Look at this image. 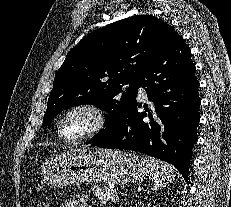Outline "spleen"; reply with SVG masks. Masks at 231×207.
Returning a JSON list of instances; mask_svg holds the SVG:
<instances>
[{
    "label": "spleen",
    "instance_id": "1",
    "mask_svg": "<svg viewBox=\"0 0 231 207\" xmlns=\"http://www.w3.org/2000/svg\"><path fill=\"white\" fill-rule=\"evenodd\" d=\"M150 169V175L154 181V189L165 188L175 178L176 169L170 164H166L154 158L146 156L144 159Z\"/></svg>",
    "mask_w": 231,
    "mask_h": 207
}]
</instances>
